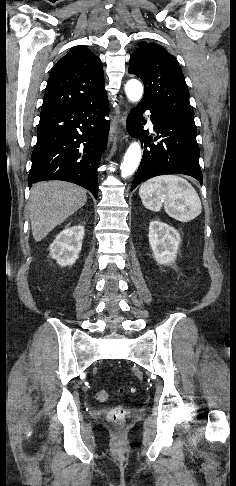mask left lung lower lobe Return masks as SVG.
Wrapping results in <instances>:
<instances>
[{
    "mask_svg": "<svg viewBox=\"0 0 236 486\" xmlns=\"http://www.w3.org/2000/svg\"><path fill=\"white\" fill-rule=\"evenodd\" d=\"M146 110L151 112L150 118L158 134L154 140L160 139L156 144L151 143L153 138H148V132L143 130L142 114ZM127 129L144 140L143 157L131 191L149 178L164 174H185L203 182L195 124L173 118L156 104L142 100L131 110Z\"/></svg>",
    "mask_w": 236,
    "mask_h": 486,
    "instance_id": "obj_1",
    "label": "left lung lower lobe"
}]
</instances>
